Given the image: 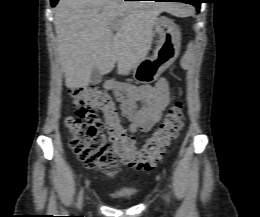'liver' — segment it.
I'll use <instances>...</instances> for the list:
<instances>
[{
	"label": "liver",
	"mask_w": 260,
	"mask_h": 217,
	"mask_svg": "<svg viewBox=\"0 0 260 217\" xmlns=\"http://www.w3.org/2000/svg\"><path fill=\"white\" fill-rule=\"evenodd\" d=\"M164 11L187 14L168 2L60 0L54 25L66 87H86L93 68L107 74L116 62L119 73L130 71L151 50L153 27Z\"/></svg>",
	"instance_id": "obj_1"
}]
</instances>
